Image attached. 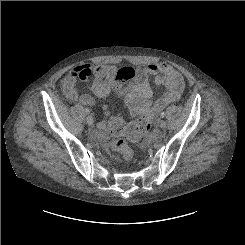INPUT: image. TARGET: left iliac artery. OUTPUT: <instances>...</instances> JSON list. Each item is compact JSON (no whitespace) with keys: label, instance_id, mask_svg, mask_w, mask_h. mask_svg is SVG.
Listing matches in <instances>:
<instances>
[{"label":"left iliac artery","instance_id":"44dca946","mask_svg":"<svg viewBox=\"0 0 245 245\" xmlns=\"http://www.w3.org/2000/svg\"><path fill=\"white\" fill-rule=\"evenodd\" d=\"M161 117L164 118L165 117V112L161 113Z\"/></svg>","mask_w":245,"mask_h":245}]
</instances>
